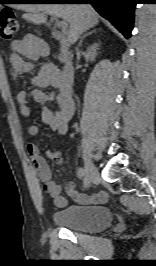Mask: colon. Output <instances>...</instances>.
Here are the masks:
<instances>
[{"label":"colon","mask_w":156,"mask_h":266,"mask_svg":"<svg viewBox=\"0 0 156 266\" xmlns=\"http://www.w3.org/2000/svg\"><path fill=\"white\" fill-rule=\"evenodd\" d=\"M18 31V21L10 9H4L0 13V34L4 40H11Z\"/></svg>","instance_id":"colon-1"}]
</instances>
